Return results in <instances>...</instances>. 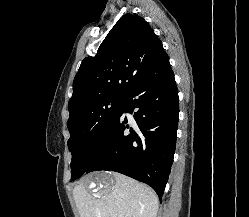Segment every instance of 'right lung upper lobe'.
<instances>
[{"label": "right lung upper lobe", "mask_w": 249, "mask_h": 217, "mask_svg": "<svg viewBox=\"0 0 249 217\" xmlns=\"http://www.w3.org/2000/svg\"><path fill=\"white\" fill-rule=\"evenodd\" d=\"M163 54L162 42L144 18L125 14L97 54L82 61L73 81L69 113L100 98L125 97Z\"/></svg>", "instance_id": "cb5924a9"}]
</instances>
